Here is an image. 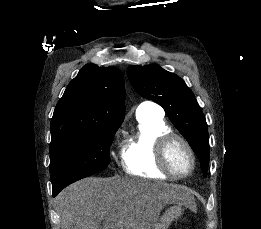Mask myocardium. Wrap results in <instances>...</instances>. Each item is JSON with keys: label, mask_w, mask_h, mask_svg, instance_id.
I'll return each instance as SVG.
<instances>
[{"label": "myocardium", "mask_w": 261, "mask_h": 229, "mask_svg": "<svg viewBox=\"0 0 261 229\" xmlns=\"http://www.w3.org/2000/svg\"><path fill=\"white\" fill-rule=\"evenodd\" d=\"M176 143H181L189 153L191 165L186 172L179 173L173 169L169 159V152L172 146ZM157 159L161 168L173 178H185L192 174L196 166V157L191 144L182 136L169 133L162 136L157 145Z\"/></svg>", "instance_id": "obj_1"}]
</instances>
